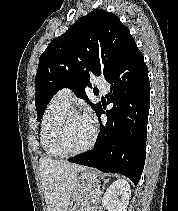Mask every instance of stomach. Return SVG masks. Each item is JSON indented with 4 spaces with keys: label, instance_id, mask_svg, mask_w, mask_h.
<instances>
[{
    "label": "stomach",
    "instance_id": "1",
    "mask_svg": "<svg viewBox=\"0 0 178 211\" xmlns=\"http://www.w3.org/2000/svg\"><path fill=\"white\" fill-rule=\"evenodd\" d=\"M100 173L94 169H85L77 178L75 188L71 194L70 204L67 211H78L84 196L91 190L97 189Z\"/></svg>",
    "mask_w": 178,
    "mask_h": 211
}]
</instances>
